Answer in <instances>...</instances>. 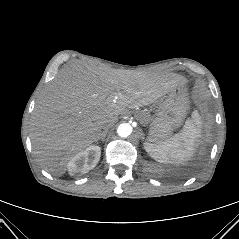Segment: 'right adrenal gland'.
I'll return each mask as SVG.
<instances>
[{"mask_svg":"<svg viewBox=\"0 0 239 239\" xmlns=\"http://www.w3.org/2000/svg\"><path fill=\"white\" fill-rule=\"evenodd\" d=\"M106 134H107V132H102L101 134H100V136L98 137V139L96 140V142L98 141V140H102V142H104V140H105V137H106Z\"/></svg>","mask_w":239,"mask_h":239,"instance_id":"right-adrenal-gland-1","label":"right adrenal gland"}]
</instances>
